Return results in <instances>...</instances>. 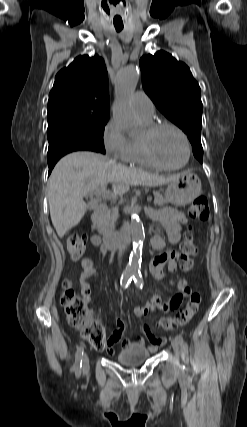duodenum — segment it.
<instances>
[{
    "label": "duodenum",
    "instance_id": "duodenum-1",
    "mask_svg": "<svg viewBox=\"0 0 247 427\" xmlns=\"http://www.w3.org/2000/svg\"><path fill=\"white\" fill-rule=\"evenodd\" d=\"M106 211V205H98L93 214L92 218L94 222H98ZM130 236V224H125L121 233L118 235L105 234L102 237H98L100 243L106 250H116L123 242L127 241Z\"/></svg>",
    "mask_w": 247,
    "mask_h": 427
}]
</instances>
